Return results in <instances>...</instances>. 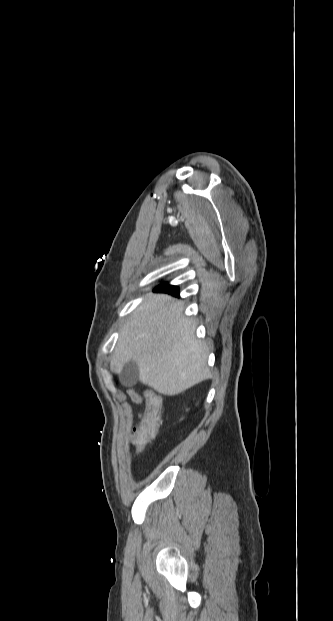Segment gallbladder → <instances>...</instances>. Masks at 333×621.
Returning a JSON list of instances; mask_svg holds the SVG:
<instances>
[{"instance_id":"bac80fb5","label":"gallbladder","mask_w":333,"mask_h":621,"mask_svg":"<svg viewBox=\"0 0 333 621\" xmlns=\"http://www.w3.org/2000/svg\"><path fill=\"white\" fill-rule=\"evenodd\" d=\"M139 369L134 361H128L119 372V379L125 386H133L138 380Z\"/></svg>"}]
</instances>
